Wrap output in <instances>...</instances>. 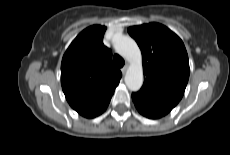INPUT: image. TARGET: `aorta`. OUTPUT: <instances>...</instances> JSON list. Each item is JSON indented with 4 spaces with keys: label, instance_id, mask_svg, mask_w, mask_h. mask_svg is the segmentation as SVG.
<instances>
[{
    "label": "aorta",
    "instance_id": "762f6f07",
    "mask_svg": "<svg viewBox=\"0 0 230 155\" xmlns=\"http://www.w3.org/2000/svg\"><path fill=\"white\" fill-rule=\"evenodd\" d=\"M114 48L129 63L125 84L130 91H138L143 84L142 56L137 43L129 36L121 35L114 40Z\"/></svg>",
    "mask_w": 230,
    "mask_h": 155
}]
</instances>
